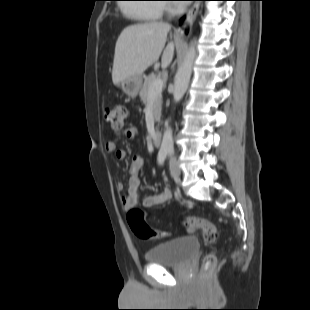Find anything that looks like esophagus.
I'll return each instance as SVG.
<instances>
[{"label":"esophagus","instance_id":"1","mask_svg":"<svg viewBox=\"0 0 310 310\" xmlns=\"http://www.w3.org/2000/svg\"><path fill=\"white\" fill-rule=\"evenodd\" d=\"M198 10H199V3L196 2L191 7V9L188 11L183 25L179 26L176 29V33H178L179 35H184L185 34V30L187 28H189L193 24V22H194V20H195V18L197 16Z\"/></svg>","mask_w":310,"mask_h":310}]
</instances>
